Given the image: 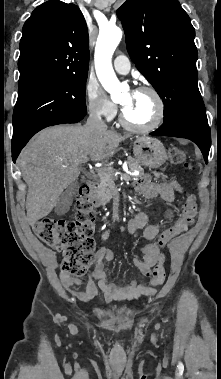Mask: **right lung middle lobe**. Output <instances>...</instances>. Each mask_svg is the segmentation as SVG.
<instances>
[{
  "instance_id": "right-lung-middle-lobe-1",
  "label": "right lung middle lobe",
  "mask_w": 221,
  "mask_h": 379,
  "mask_svg": "<svg viewBox=\"0 0 221 379\" xmlns=\"http://www.w3.org/2000/svg\"><path fill=\"white\" fill-rule=\"evenodd\" d=\"M87 75H67L19 86L13 113L12 143L29 140L67 117L86 115Z\"/></svg>"
}]
</instances>
